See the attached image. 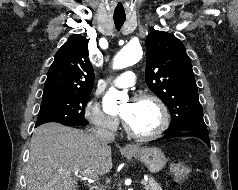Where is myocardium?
<instances>
[{
    "mask_svg": "<svg viewBox=\"0 0 238 190\" xmlns=\"http://www.w3.org/2000/svg\"><path fill=\"white\" fill-rule=\"evenodd\" d=\"M133 100H150L154 102L160 111L161 122L154 131L148 132V133H139L134 131L126 122V120L123 118V127L126 133L129 136L138 140H150L162 135L167 130L170 123L169 111L166 104L163 102V100L157 95L153 93H148V92H141V93L135 94L133 97Z\"/></svg>",
    "mask_w": 238,
    "mask_h": 190,
    "instance_id": "obj_1",
    "label": "myocardium"
}]
</instances>
